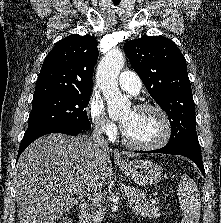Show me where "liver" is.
Segmentation results:
<instances>
[{
	"mask_svg": "<svg viewBox=\"0 0 221 223\" xmlns=\"http://www.w3.org/2000/svg\"><path fill=\"white\" fill-rule=\"evenodd\" d=\"M110 152L86 135L49 134L35 140L15 169L18 223H56L84 192L103 188L112 176Z\"/></svg>",
	"mask_w": 221,
	"mask_h": 223,
	"instance_id": "obj_1",
	"label": "liver"
}]
</instances>
